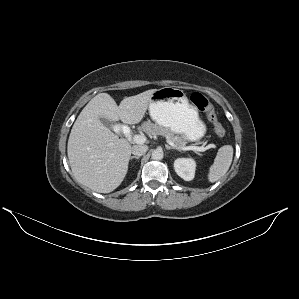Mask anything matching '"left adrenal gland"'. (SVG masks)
I'll return each mask as SVG.
<instances>
[{
  "instance_id": "obj_1",
  "label": "left adrenal gland",
  "mask_w": 299,
  "mask_h": 299,
  "mask_svg": "<svg viewBox=\"0 0 299 299\" xmlns=\"http://www.w3.org/2000/svg\"><path fill=\"white\" fill-rule=\"evenodd\" d=\"M166 149H167V150H170V149H175V150H177V151H180L179 149H177V148H174V147H171V146H168V145H166Z\"/></svg>"
}]
</instances>
